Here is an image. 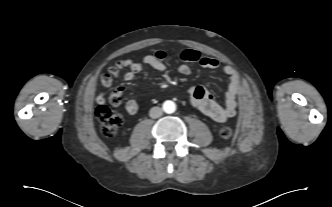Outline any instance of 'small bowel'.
<instances>
[{
    "label": "small bowel",
    "instance_id": "small-bowel-1",
    "mask_svg": "<svg viewBox=\"0 0 332 207\" xmlns=\"http://www.w3.org/2000/svg\"><path fill=\"white\" fill-rule=\"evenodd\" d=\"M166 57L165 51L159 49L144 56L141 62H135L131 59L119 60L107 72L102 74L101 83L105 87H110L113 79L119 75L122 69H128L124 75L126 81L134 80L138 73L145 71L148 67L163 72L167 69ZM189 63H198L207 69H217L219 67V62L216 59L203 57L198 51L192 49L181 53L178 65L179 73L189 75L191 73ZM223 72L228 79V90L224 105L218 104L204 86H192L187 89L193 107L218 123L226 122L236 115L237 97L240 90V78L235 69L226 65L223 67ZM124 90V87L120 86L115 92L121 97ZM125 108L130 115L137 114L139 110L137 102L133 99L126 102Z\"/></svg>",
    "mask_w": 332,
    "mask_h": 207
}]
</instances>
